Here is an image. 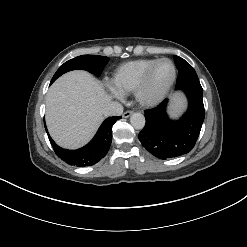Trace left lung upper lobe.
Masks as SVG:
<instances>
[{
  "mask_svg": "<svg viewBox=\"0 0 247 247\" xmlns=\"http://www.w3.org/2000/svg\"><path fill=\"white\" fill-rule=\"evenodd\" d=\"M174 61L178 69L176 86L184 83L199 82L198 76L192 66L179 56H174Z\"/></svg>",
  "mask_w": 247,
  "mask_h": 247,
  "instance_id": "5c2ea615",
  "label": "left lung upper lobe"
}]
</instances>
